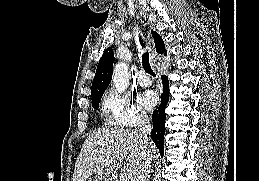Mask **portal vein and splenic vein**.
Masks as SVG:
<instances>
[{
	"label": "portal vein and splenic vein",
	"instance_id": "1",
	"mask_svg": "<svg viewBox=\"0 0 259 181\" xmlns=\"http://www.w3.org/2000/svg\"><path fill=\"white\" fill-rule=\"evenodd\" d=\"M119 178H120V181H130L127 173H122Z\"/></svg>",
	"mask_w": 259,
	"mask_h": 181
}]
</instances>
